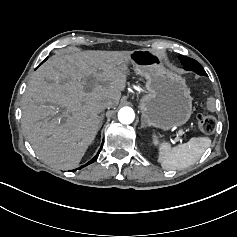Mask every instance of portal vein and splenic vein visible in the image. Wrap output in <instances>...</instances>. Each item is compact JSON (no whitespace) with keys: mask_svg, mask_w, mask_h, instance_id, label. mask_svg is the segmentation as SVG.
Segmentation results:
<instances>
[{"mask_svg":"<svg viewBox=\"0 0 237 237\" xmlns=\"http://www.w3.org/2000/svg\"><path fill=\"white\" fill-rule=\"evenodd\" d=\"M180 133V135L183 137L185 134L183 133V130L180 128L179 130H178Z\"/></svg>","mask_w":237,"mask_h":237,"instance_id":"portal-vein-and-splenic-vein-1","label":"portal vein and splenic vein"}]
</instances>
